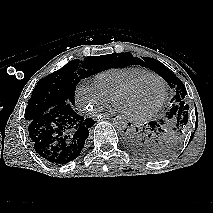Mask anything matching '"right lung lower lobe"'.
Masks as SVG:
<instances>
[{"label":"right lung lower lobe","mask_w":213,"mask_h":213,"mask_svg":"<svg viewBox=\"0 0 213 213\" xmlns=\"http://www.w3.org/2000/svg\"><path fill=\"white\" fill-rule=\"evenodd\" d=\"M95 123L64 102L27 123V130L35 151L44 160L60 165L79 156Z\"/></svg>","instance_id":"right-lung-lower-lobe-1"}]
</instances>
